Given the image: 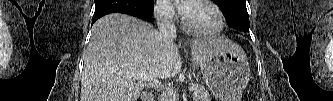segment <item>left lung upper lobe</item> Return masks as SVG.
I'll return each instance as SVG.
<instances>
[{"label":"left lung upper lobe","instance_id":"left-lung-upper-lobe-1","mask_svg":"<svg viewBox=\"0 0 333 101\" xmlns=\"http://www.w3.org/2000/svg\"><path fill=\"white\" fill-rule=\"evenodd\" d=\"M225 14L229 27L248 32L249 17L245 0H213Z\"/></svg>","mask_w":333,"mask_h":101}]
</instances>
